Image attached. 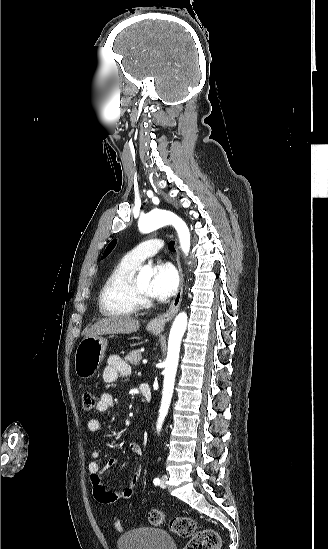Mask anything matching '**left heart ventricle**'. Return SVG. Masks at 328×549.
Returning <instances> with one entry per match:
<instances>
[{
    "mask_svg": "<svg viewBox=\"0 0 328 549\" xmlns=\"http://www.w3.org/2000/svg\"><path fill=\"white\" fill-rule=\"evenodd\" d=\"M149 269L151 270L150 267ZM150 279H151V275L148 273H142L137 275L136 277V284L139 291L147 297H150L149 296Z\"/></svg>",
    "mask_w": 328,
    "mask_h": 549,
    "instance_id": "obj_1",
    "label": "left heart ventricle"
}]
</instances>
